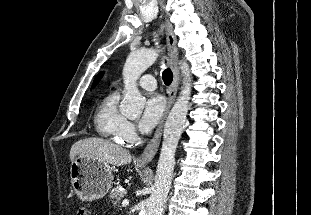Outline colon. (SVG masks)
Wrapping results in <instances>:
<instances>
[{
  "label": "colon",
  "mask_w": 311,
  "mask_h": 215,
  "mask_svg": "<svg viewBox=\"0 0 311 215\" xmlns=\"http://www.w3.org/2000/svg\"><path fill=\"white\" fill-rule=\"evenodd\" d=\"M76 215H91V213L87 208L79 207L76 211Z\"/></svg>",
  "instance_id": "obj_1"
}]
</instances>
